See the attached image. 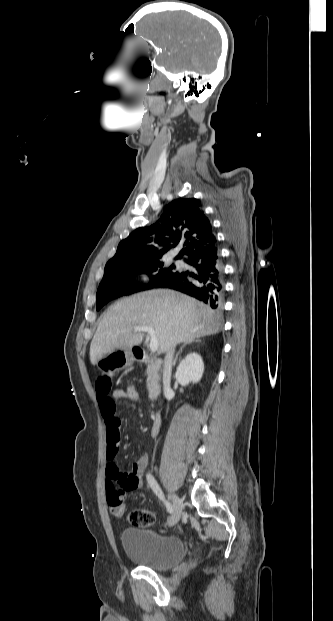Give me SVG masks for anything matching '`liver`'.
Instances as JSON below:
<instances>
[{
  "label": "liver",
  "instance_id": "1",
  "mask_svg": "<svg viewBox=\"0 0 333 621\" xmlns=\"http://www.w3.org/2000/svg\"><path fill=\"white\" fill-rule=\"evenodd\" d=\"M221 315L209 306L172 290H151L119 300L101 319L90 344V361L97 364L118 349H132L144 338L135 326L152 327L161 352L221 330Z\"/></svg>",
  "mask_w": 333,
  "mask_h": 621
}]
</instances>
